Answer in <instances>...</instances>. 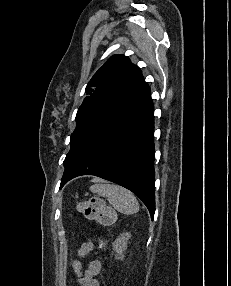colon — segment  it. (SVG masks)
<instances>
[{"mask_svg": "<svg viewBox=\"0 0 231 286\" xmlns=\"http://www.w3.org/2000/svg\"><path fill=\"white\" fill-rule=\"evenodd\" d=\"M78 210L88 220L96 221L106 227L112 226L117 217L116 212L99 197H91L82 201L78 205ZM99 246L104 249L106 241L101 240Z\"/></svg>", "mask_w": 231, "mask_h": 286, "instance_id": "obj_1", "label": "colon"}]
</instances>
